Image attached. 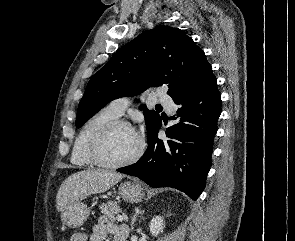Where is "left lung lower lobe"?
Instances as JSON below:
<instances>
[{
	"instance_id": "left-lung-lower-lobe-1",
	"label": "left lung lower lobe",
	"mask_w": 295,
	"mask_h": 241,
	"mask_svg": "<svg viewBox=\"0 0 295 241\" xmlns=\"http://www.w3.org/2000/svg\"><path fill=\"white\" fill-rule=\"evenodd\" d=\"M173 100L179 105L174 118L179 121L167 128L168 140L158 139L161 121L148 139L142 158L117 171L136 176L151 187L176 188L196 200L205 188L221 114L215 76L210 75Z\"/></svg>"
}]
</instances>
